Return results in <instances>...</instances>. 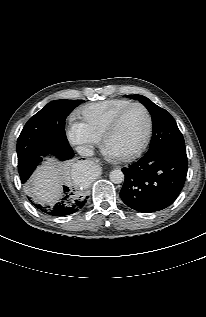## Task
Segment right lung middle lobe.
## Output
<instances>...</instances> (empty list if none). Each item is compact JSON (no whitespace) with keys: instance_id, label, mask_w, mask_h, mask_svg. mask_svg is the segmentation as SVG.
I'll return each mask as SVG.
<instances>
[{"instance_id":"1","label":"right lung middle lobe","mask_w":206,"mask_h":317,"mask_svg":"<svg viewBox=\"0 0 206 317\" xmlns=\"http://www.w3.org/2000/svg\"><path fill=\"white\" fill-rule=\"evenodd\" d=\"M82 102L54 100L32 116L23 128L17 140L18 170L28 192H32L33 186L27 180L42 156H57V148L67 144L65 119Z\"/></svg>"}]
</instances>
